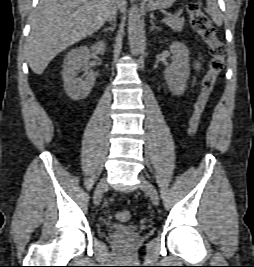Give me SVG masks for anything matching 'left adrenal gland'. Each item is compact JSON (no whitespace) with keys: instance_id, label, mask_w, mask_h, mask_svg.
<instances>
[{"instance_id":"left-adrenal-gland-1","label":"left adrenal gland","mask_w":254,"mask_h":267,"mask_svg":"<svg viewBox=\"0 0 254 267\" xmlns=\"http://www.w3.org/2000/svg\"><path fill=\"white\" fill-rule=\"evenodd\" d=\"M150 23H151L150 31H153L154 29L160 30V28L155 25L154 20L152 18L150 19Z\"/></svg>"}]
</instances>
